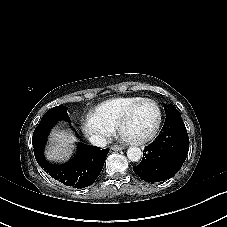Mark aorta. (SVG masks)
Returning a JSON list of instances; mask_svg holds the SVG:
<instances>
[{
    "label": "aorta",
    "mask_w": 227,
    "mask_h": 227,
    "mask_svg": "<svg viewBox=\"0 0 227 227\" xmlns=\"http://www.w3.org/2000/svg\"><path fill=\"white\" fill-rule=\"evenodd\" d=\"M127 157L132 162H138L142 157V151L139 147L131 146L127 150Z\"/></svg>",
    "instance_id": "762f6f07"
}]
</instances>
